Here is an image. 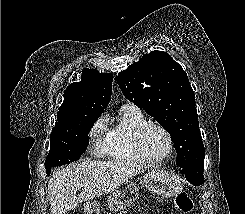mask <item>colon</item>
Here are the masks:
<instances>
[{
    "instance_id": "5ec220e1",
    "label": "colon",
    "mask_w": 245,
    "mask_h": 214,
    "mask_svg": "<svg viewBox=\"0 0 245 214\" xmlns=\"http://www.w3.org/2000/svg\"><path fill=\"white\" fill-rule=\"evenodd\" d=\"M175 206L182 214H189L194 208L193 201L184 191L175 197Z\"/></svg>"
}]
</instances>
